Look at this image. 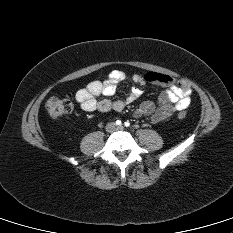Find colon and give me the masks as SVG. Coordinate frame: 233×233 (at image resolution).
<instances>
[{
  "instance_id": "5ec220e1",
  "label": "colon",
  "mask_w": 233,
  "mask_h": 233,
  "mask_svg": "<svg viewBox=\"0 0 233 233\" xmlns=\"http://www.w3.org/2000/svg\"><path fill=\"white\" fill-rule=\"evenodd\" d=\"M73 105L70 98H58L52 97L49 98L46 102V109L50 116L54 118H59L64 115L69 114L72 111ZM187 116L186 111H180L178 117L183 119Z\"/></svg>"
}]
</instances>
